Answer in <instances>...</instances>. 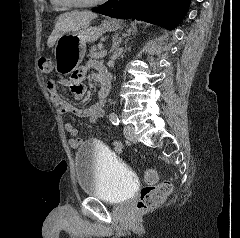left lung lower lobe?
Here are the masks:
<instances>
[{"label": "left lung lower lobe", "mask_w": 240, "mask_h": 238, "mask_svg": "<svg viewBox=\"0 0 240 238\" xmlns=\"http://www.w3.org/2000/svg\"><path fill=\"white\" fill-rule=\"evenodd\" d=\"M189 4L190 0H109L92 11L114 18L143 20L172 30Z\"/></svg>", "instance_id": "0a47b994"}]
</instances>
